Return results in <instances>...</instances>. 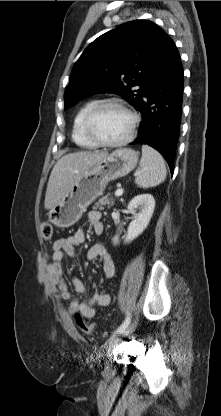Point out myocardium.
I'll return each mask as SVG.
<instances>
[{"mask_svg":"<svg viewBox=\"0 0 221 416\" xmlns=\"http://www.w3.org/2000/svg\"><path fill=\"white\" fill-rule=\"evenodd\" d=\"M116 106L127 112L131 118V126L129 133L118 141H106L100 138L93 129V123L97 115L106 107ZM139 124V116L126 103L119 99H106L98 102L87 114L84 120V131L87 137L98 146L104 147H121L129 143L135 136Z\"/></svg>","mask_w":221,"mask_h":416,"instance_id":"myocardium-1","label":"myocardium"}]
</instances>
